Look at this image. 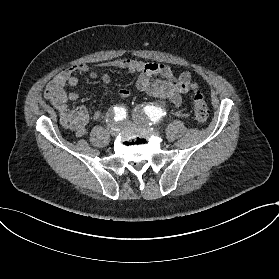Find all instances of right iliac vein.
I'll return each mask as SVG.
<instances>
[{
	"mask_svg": "<svg viewBox=\"0 0 279 279\" xmlns=\"http://www.w3.org/2000/svg\"><path fill=\"white\" fill-rule=\"evenodd\" d=\"M109 131H110L111 135H113V136H116L118 134L117 125L115 122L110 121Z\"/></svg>",
	"mask_w": 279,
	"mask_h": 279,
	"instance_id": "right-iliac-vein-1",
	"label": "right iliac vein"
}]
</instances>
